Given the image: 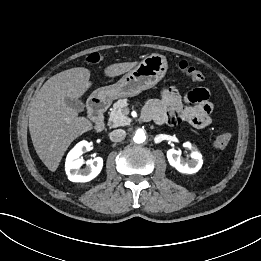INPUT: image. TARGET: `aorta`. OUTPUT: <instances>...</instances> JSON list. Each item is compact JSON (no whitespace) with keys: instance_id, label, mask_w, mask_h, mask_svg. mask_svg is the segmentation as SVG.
Listing matches in <instances>:
<instances>
[{"instance_id":"aorta-1","label":"aorta","mask_w":261,"mask_h":261,"mask_svg":"<svg viewBox=\"0 0 261 261\" xmlns=\"http://www.w3.org/2000/svg\"><path fill=\"white\" fill-rule=\"evenodd\" d=\"M133 140L135 143H143L146 140V134L142 129H137L133 136Z\"/></svg>"}]
</instances>
